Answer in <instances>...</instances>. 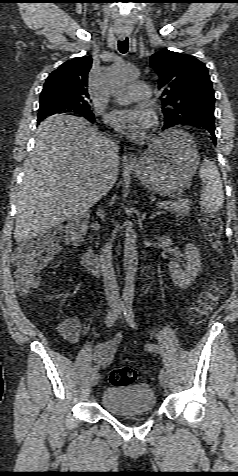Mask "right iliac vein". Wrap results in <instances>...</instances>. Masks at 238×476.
Listing matches in <instances>:
<instances>
[{
    "instance_id": "obj_1",
    "label": "right iliac vein",
    "mask_w": 238,
    "mask_h": 476,
    "mask_svg": "<svg viewBox=\"0 0 238 476\" xmlns=\"http://www.w3.org/2000/svg\"><path fill=\"white\" fill-rule=\"evenodd\" d=\"M99 379H100L99 373H97V372L92 373L91 379H90L91 385L95 386L99 382Z\"/></svg>"
}]
</instances>
